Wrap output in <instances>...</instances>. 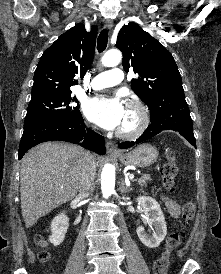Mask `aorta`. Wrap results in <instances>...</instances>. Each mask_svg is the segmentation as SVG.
Wrapping results in <instances>:
<instances>
[{"label": "aorta", "instance_id": "aorta-1", "mask_svg": "<svg viewBox=\"0 0 221 274\" xmlns=\"http://www.w3.org/2000/svg\"><path fill=\"white\" fill-rule=\"evenodd\" d=\"M122 54L119 50H110L102 58V64L106 67H113L120 63ZM115 187V170L107 164L104 166L101 173V190L103 197L108 198L113 192Z\"/></svg>", "mask_w": 221, "mask_h": 274}]
</instances>
